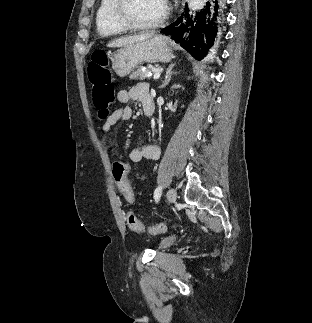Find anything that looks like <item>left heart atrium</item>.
Returning <instances> with one entry per match:
<instances>
[{"mask_svg":"<svg viewBox=\"0 0 312 323\" xmlns=\"http://www.w3.org/2000/svg\"><path fill=\"white\" fill-rule=\"evenodd\" d=\"M165 6H166V7H169V6H170V3H169V2H166V3H165Z\"/></svg>","mask_w":312,"mask_h":323,"instance_id":"1","label":"left heart atrium"}]
</instances>
